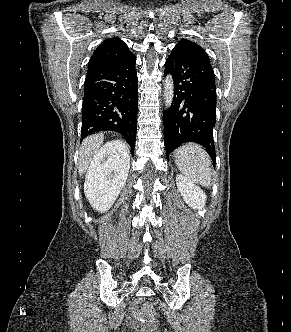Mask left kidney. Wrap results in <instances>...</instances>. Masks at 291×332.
<instances>
[{"label": "left kidney", "instance_id": "left-kidney-1", "mask_svg": "<svg viewBox=\"0 0 291 332\" xmlns=\"http://www.w3.org/2000/svg\"><path fill=\"white\" fill-rule=\"evenodd\" d=\"M176 184L185 202L193 209H202L206 202V194L199 186L182 175L176 176Z\"/></svg>", "mask_w": 291, "mask_h": 332}]
</instances>
